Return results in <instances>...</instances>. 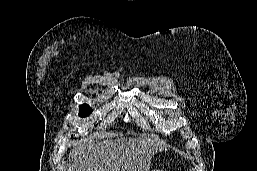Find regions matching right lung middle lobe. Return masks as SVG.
Instances as JSON below:
<instances>
[{"mask_svg":"<svg viewBox=\"0 0 257 171\" xmlns=\"http://www.w3.org/2000/svg\"><path fill=\"white\" fill-rule=\"evenodd\" d=\"M92 112V109L89 105L83 104L79 106V116L80 117H86Z\"/></svg>","mask_w":257,"mask_h":171,"instance_id":"dd1d6c3e","label":"right lung middle lobe"}]
</instances>
